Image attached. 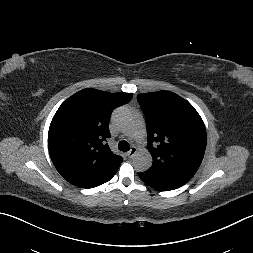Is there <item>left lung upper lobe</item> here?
Listing matches in <instances>:
<instances>
[{"mask_svg": "<svg viewBox=\"0 0 253 253\" xmlns=\"http://www.w3.org/2000/svg\"><path fill=\"white\" fill-rule=\"evenodd\" d=\"M148 134L152 167L144 173L187 183L199 168L206 149L204 123L185 99L170 91L139 94Z\"/></svg>", "mask_w": 253, "mask_h": 253, "instance_id": "obj_1", "label": "left lung upper lobe"}]
</instances>
